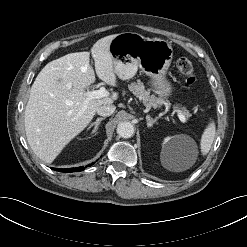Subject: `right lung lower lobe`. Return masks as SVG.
<instances>
[{"mask_svg": "<svg viewBox=\"0 0 247 247\" xmlns=\"http://www.w3.org/2000/svg\"><path fill=\"white\" fill-rule=\"evenodd\" d=\"M91 165L92 164H89L86 167L91 166ZM53 169L56 171H60V172H79V171H83L85 167L82 166V167L68 168V169H58V168H53Z\"/></svg>", "mask_w": 247, "mask_h": 247, "instance_id": "right-lung-lower-lobe-1", "label": "right lung lower lobe"}]
</instances>
